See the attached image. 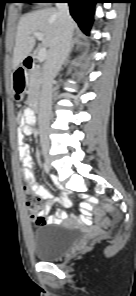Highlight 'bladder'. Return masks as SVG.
<instances>
[{
    "label": "bladder",
    "instance_id": "31cf9c89",
    "mask_svg": "<svg viewBox=\"0 0 136 296\" xmlns=\"http://www.w3.org/2000/svg\"><path fill=\"white\" fill-rule=\"evenodd\" d=\"M79 241V231L64 225L45 224L35 229L31 235L33 253L40 261L60 259Z\"/></svg>",
    "mask_w": 136,
    "mask_h": 296
}]
</instances>
